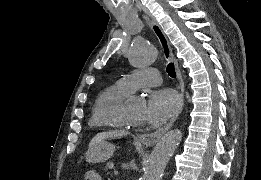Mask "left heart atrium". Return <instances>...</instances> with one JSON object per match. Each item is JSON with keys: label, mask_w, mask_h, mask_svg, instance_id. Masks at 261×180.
I'll use <instances>...</instances> for the list:
<instances>
[{"label": "left heart atrium", "mask_w": 261, "mask_h": 180, "mask_svg": "<svg viewBox=\"0 0 261 180\" xmlns=\"http://www.w3.org/2000/svg\"><path fill=\"white\" fill-rule=\"evenodd\" d=\"M180 105V97L174 90L156 89L147 97L143 116L148 122L161 121L174 115Z\"/></svg>", "instance_id": "1"}]
</instances>
